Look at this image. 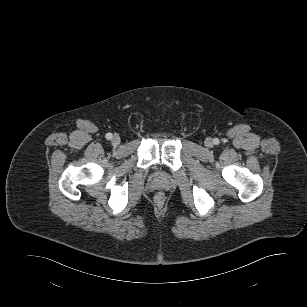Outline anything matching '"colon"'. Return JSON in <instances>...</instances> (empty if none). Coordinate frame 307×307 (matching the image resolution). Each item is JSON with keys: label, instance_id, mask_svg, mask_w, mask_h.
<instances>
[{"label": "colon", "instance_id": "obj_1", "mask_svg": "<svg viewBox=\"0 0 307 307\" xmlns=\"http://www.w3.org/2000/svg\"><path fill=\"white\" fill-rule=\"evenodd\" d=\"M157 199L159 200V201H162V200H164V195L163 194H158L157 195Z\"/></svg>", "mask_w": 307, "mask_h": 307}]
</instances>
